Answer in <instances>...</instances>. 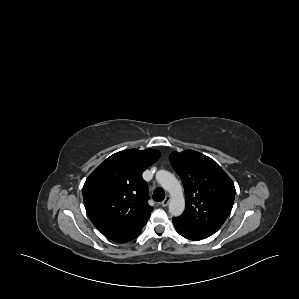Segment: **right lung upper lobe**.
<instances>
[{"instance_id": "cb5924a9", "label": "right lung upper lobe", "mask_w": 299, "mask_h": 299, "mask_svg": "<svg viewBox=\"0 0 299 299\" xmlns=\"http://www.w3.org/2000/svg\"><path fill=\"white\" fill-rule=\"evenodd\" d=\"M160 152L129 149L111 155L86 179L83 199L95 227L116 240L140 232L153 210L147 203L148 186L142 173Z\"/></svg>"}]
</instances>
